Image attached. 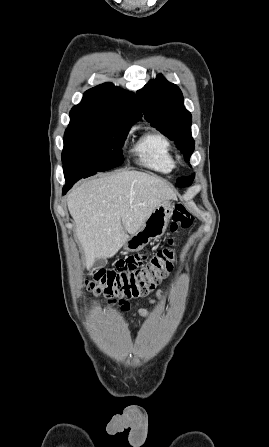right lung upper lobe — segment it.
Wrapping results in <instances>:
<instances>
[{
  "instance_id": "right-lung-upper-lobe-1",
  "label": "right lung upper lobe",
  "mask_w": 269,
  "mask_h": 447,
  "mask_svg": "<svg viewBox=\"0 0 269 447\" xmlns=\"http://www.w3.org/2000/svg\"><path fill=\"white\" fill-rule=\"evenodd\" d=\"M72 119L111 123H135L142 119L136 96L112 83H104L84 93L80 104L70 111Z\"/></svg>"
}]
</instances>
